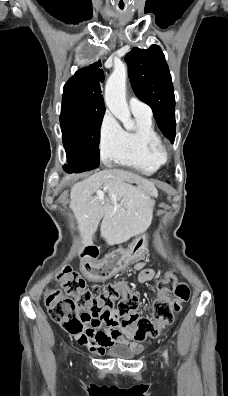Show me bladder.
I'll return each mask as SVG.
<instances>
[{
  "label": "bladder",
  "instance_id": "1",
  "mask_svg": "<svg viewBox=\"0 0 228 396\" xmlns=\"http://www.w3.org/2000/svg\"><path fill=\"white\" fill-rule=\"evenodd\" d=\"M107 354L113 358L132 359L136 355V351L128 345H116L107 350Z\"/></svg>",
  "mask_w": 228,
  "mask_h": 396
}]
</instances>
